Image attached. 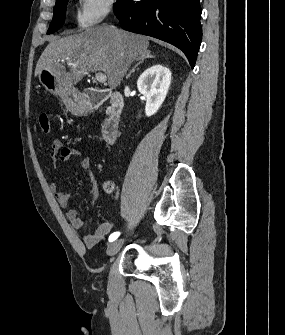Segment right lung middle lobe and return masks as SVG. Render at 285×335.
<instances>
[{
	"label": "right lung middle lobe",
	"mask_w": 285,
	"mask_h": 335,
	"mask_svg": "<svg viewBox=\"0 0 285 335\" xmlns=\"http://www.w3.org/2000/svg\"><path fill=\"white\" fill-rule=\"evenodd\" d=\"M68 0H63L58 4H55L54 7V16L52 19V22L50 24V27L47 31V34H52L56 30H58L65 21V13H66V6H67Z\"/></svg>",
	"instance_id": "dd1d6c3e"
}]
</instances>
